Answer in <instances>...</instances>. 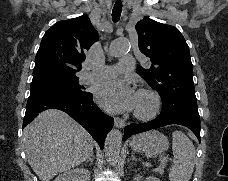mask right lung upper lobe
Here are the masks:
<instances>
[{
	"label": "right lung upper lobe",
	"mask_w": 228,
	"mask_h": 181,
	"mask_svg": "<svg viewBox=\"0 0 228 181\" xmlns=\"http://www.w3.org/2000/svg\"><path fill=\"white\" fill-rule=\"evenodd\" d=\"M97 39L98 33L86 15L55 23L42 38L33 79L75 75Z\"/></svg>",
	"instance_id": "cb5924a9"
}]
</instances>
